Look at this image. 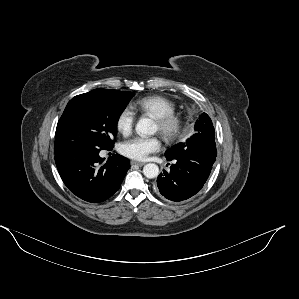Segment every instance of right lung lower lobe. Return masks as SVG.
<instances>
[{
	"mask_svg": "<svg viewBox=\"0 0 299 299\" xmlns=\"http://www.w3.org/2000/svg\"><path fill=\"white\" fill-rule=\"evenodd\" d=\"M99 149H76L55 154L60 177L68 189L79 198L102 202L120 187L130 163L127 158L114 154L106 163Z\"/></svg>",
	"mask_w": 299,
	"mask_h": 299,
	"instance_id": "obj_1",
	"label": "right lung lower lobe"
}]
</instances>
